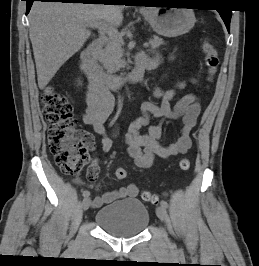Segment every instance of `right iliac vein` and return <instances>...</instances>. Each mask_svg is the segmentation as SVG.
<instances>
[{"label": "right iliac vein", "mask_w": 259, "mask_h": 266, "mask_svg": "<svg viewBox=\"0 0 259 266\" xmlns=\"http://www.w3.org/2000/svg\"><path fill=\"white\" fill-rule=\"evenodd\" d=\"M90 204H91V201L89 198H85L83 201H82V209L84 211H86L89 207H90Z\"/></svg>", "instance_id": "obj_1"}]
</instances>
